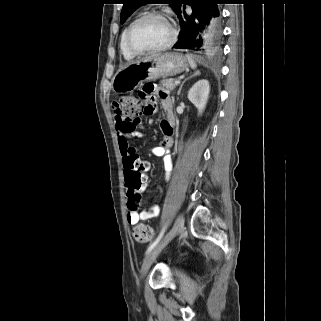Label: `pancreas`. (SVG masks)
<instances>
[{"label": "pancreas", "mask_w": 321, "mask_h": 321, "mask_svg": "<svg viewBox=\"0 0 321 321\" xmlns=\"http://www.w3.org/2000/svg\"><path fill=\"white\" fill-rule=\"evenodd\" d=\"M161 85L170 91L174 90L176 87L173 79H164L161 81Z\"/></svg>", "instance_id": "obj_1"}]
</instances>
